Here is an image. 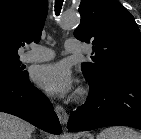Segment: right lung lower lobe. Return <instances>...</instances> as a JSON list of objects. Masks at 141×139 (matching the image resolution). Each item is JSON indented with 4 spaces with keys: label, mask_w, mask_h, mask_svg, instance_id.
Listing matches in <instances>:
<instances>
[{
    "label": "right lung lower lobe",
    "mask_w": 141,
    "mask_h": 139,
    "mask_svg": "<svg viewBox=\"0 0 141 139\" xmlns=\"http://www.w3.org/2000/svg\"><path fill=\"white\" fill-rule=\"evenodd\" d=\"M0 111L18 116L40 129L61 133V125L50 101L25 76L13 81H0Z\"/></svg>",
    "instance_id": "98d812e1"
}]
</instances>
